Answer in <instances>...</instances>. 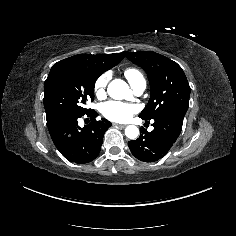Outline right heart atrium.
<instances>
[{
    "mask_svg": "<svg viewBox=\"0 0 236 236\" xmlns=\"http://www.w3.org/2000/svg\"><path fill=\"white\" fill-rule=\"evenodd\" d=\"M107 84H108L107 75H102L96 80L94 85V93L98 99H102L105 97Z\"/></svg>",
    "mask_w": 236,
    "mask_h": 236,
    "instance_id": "right-heart-atrium-1",
    "label": "right heart atrium"
}]
</instances>
